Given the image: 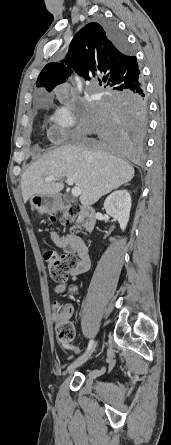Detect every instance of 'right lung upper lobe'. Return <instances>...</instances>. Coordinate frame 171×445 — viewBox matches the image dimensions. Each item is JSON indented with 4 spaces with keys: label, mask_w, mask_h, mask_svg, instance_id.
Instances as JSON below:
<instances>
[{
    "label": "right lung upper lobe",
    "mask_w": 171,
    "mask_h": 445,
    "mask_svg": "<svg viewBox=\"0 0 171 445\" xmlns=\"http://www.w3.org/2000/svg\"><path fill=\"white\" fill-rule=\"evenodd\" d=\"M64 65L47 64L41 71L36 85L51 91L66 81L73 68L86 79L103 76V81L113 91L129 90L142 81L137 59L131 51L117 48L102 24L92 22L73 37Z\"/></svg>",
    "instance_id": "cb5924a9"
}]
</instances>
